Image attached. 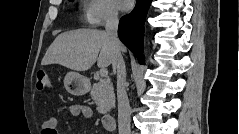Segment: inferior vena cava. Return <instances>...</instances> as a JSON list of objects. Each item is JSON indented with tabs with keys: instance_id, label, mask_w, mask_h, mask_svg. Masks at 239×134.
<instances>
[{
	"instance_id": "inferior-vena-cava-1",
	"label": "inferior vena cava",
	"mask_w": 239,
	"mask_h": 134,
	"mask_svg": "<svg viewBox=\"0 0 239 134\" xmlns=\"http://www.w3.org/2000/svg\"><path fill=\"white\" fill-rule=\"evenodd\" d=\"M106 33L109 35L115 49V60L112 63L113 72L117 74L118 128L119 134H130V105L126 93V68L120 52L121 43L117 36L118 13L110 9L106 19Z\"/></svg>"
}]
</instances>
